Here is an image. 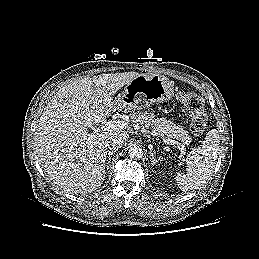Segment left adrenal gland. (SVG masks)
<instances>
[{"label": "left adrenal gland", "mask_w": 259, "mask_h": 259, "mask_svg": "<svg viewBox=\"0 0 259 259\" xmlns=\"http://www.w3.org/2000/svg\"><path fill=\"white\" fill-rule=\"evenodd\" d=\"M150 155L152 156V161H151V164H152V165H155L157 162H159V161L161 160L160 158L157 159V158L155 157V152L152 151V150L150 151Z\"/></svg>", "instance_id": "left-adrenal-gland-1"}]
</instances>
